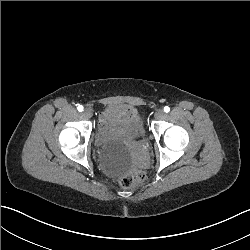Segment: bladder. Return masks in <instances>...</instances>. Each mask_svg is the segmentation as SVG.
<instances>
[{
  "instance_id": "bladder-1",
  "label": "bladder",
  "mask_w": 250,
  "mask_h": 250,
  "mask_svg": "<svg viewBox=\"0 0 250 250\" xmlns=\"http://www.w3.org/2000/svg\"><path fill=\"white\" fill-rule=\"evenodd\" d=\"M111 108V103L104 105V113L99 118L97 129L93 132L97 151L115 144L125 145L128 141L146 139L143 115L137 108H133L134 113L126 108L114 110Z\"/></svg>"
}]
</instances>
